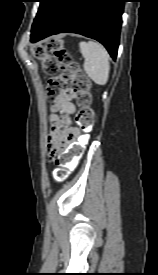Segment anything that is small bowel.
<instances>
[{
  "label": "small bowel",
  "instance_id": "c3829d8e",
  "mask_svg": "<svg viewBox=\"0 0 158 275\" xmlns=\"http://www.w3.org/2000/svg\"><path fill=\"white\" fill-rule=\"evenodd\" d=\"M74 97V93L68 91L51 104V129L46 145L50 159L62 153L79 138V130L72 126V116L76 110ZM57 111L60 112V116L55 114Z\"/></svg>",
  "mask_w": 158,
  "mask_h": 275
}]
</instances>
